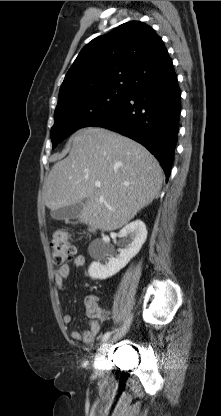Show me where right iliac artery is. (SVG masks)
I'll list each match as a JSON object with an SVG mask.
<instances>
[{
  "label": "right iliac artery",
  "instance_id": "82829eb1",
  "mask_svg": "<svg viewBox=\"0 0 221 416\" xmlns=\"http://www.w3.org/2000/svg\"><path fill=\"white\" fill-rule=\"evenodd\" d=\"M110 335H111V332H106L102 337V342H105L106 340H108Z\"/></svg>",
  "mask_w": 221,
  "mask_h": 416
}]
</instances>
